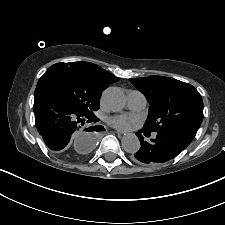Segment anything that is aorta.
<instances>
[{
  "mask_svg": "<svg viewBox=\"0 0 225 225\" xmlns=\"http://www.w3.org/2000/svg\"><path fill=\"white\" fill-rule=\"evenodd\" d=\"M102 100L106 108L117 112L125 107L126 97L118 87L107 88L102 95ZM122 148L128 153L137 152L140 148V141L135 134H127L121 139Z\"/></svg>",
  "mask_w": 225,
  "mask_h": 225,
  "instance_id": "aorta-1",
  "label": "aorta"
}]
</instances>
